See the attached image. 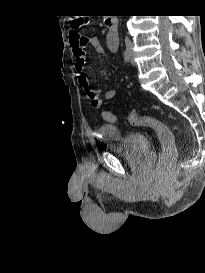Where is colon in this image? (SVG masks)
<instances>
[{"label":"colon","instance_id":"1","mask_svg":"<svg viewBox=\"0 0 205 273\" xmlns=\"http://www.w3.org/2000/svg\"><path fill=\"white\" fill-rule=\"evenodd\" d=\"M87 20L85 17L78 16L74 17L72 21V40L79 42L81 39L80 30L86 26ZM106 120L114 121L115 118L111 113L106 114ZM128 121L132 126L136 127H149L153 129L161 142L162 151L161 159L158 163V168L162 171H170L175 165L178 150L175 144L174 135L172 131L158 119L146 116L138 115L134 110H131L128 114Z\"/></svg>","mask_w":205,"mask_h":273}]
</instances>
